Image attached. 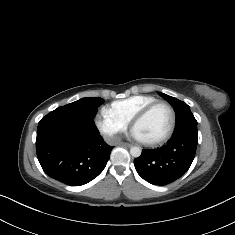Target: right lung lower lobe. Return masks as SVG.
<instances>
[{
	"label": "right lung lower lobe",
	"instance_id": "right-lung-lower-lobe-1",
	"mask_svg": "<svg viewBox=\"0 0 235 235\" xmlns=\"http://www.w3.org/2000/svg\"><path fill=\"white\" fill-rule=\"evenodd\" d=\"M113 147L105 143L93 118L59 110L42 118L36 151L44 172L71 186H81L105 168Z\"/></svg>",
	"mask_w": 235,
	"mask_h": 235
}]
</instances>
